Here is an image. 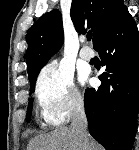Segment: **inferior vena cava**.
<instances>
[{
    "instance_id": "obj_1",
    "label": "inferior vena cava",
    "mask_w": 139,
    "mask_h": 150,
    "mask_svg": "<svg viewBox=\"0 0 139 150\" xmlns=\"http://www.w3.org/2000/svg\"><path fill=\"white\" fill-rule=\"evenodd\" d=\"M71 129L73 130L76 139L79 143V150H87V118L84 111L83 101L80 99L75 100V109L73 112Z\"/></svg>"
}]
</instances>
